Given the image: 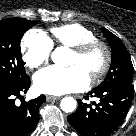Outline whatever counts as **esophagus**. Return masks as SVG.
Listing matches in <instances>:
<instances>
[{
	"label": "esophagus",
	"instance_id": "esophagus-1",
	"mask_svg": "<svg viewBox=\"0 0 136 136\" xmlns=\"http://www.w3.org/2000/svg\"><path fill=\"white\" fill-rule=\"evenodd\" d=\"M59 99H60V97H58V96H51V95L46 96L47 101L59 100Z\"/></svg>",
	"mask_w": 136,
	"mask_h": 136
}]
</instances>
